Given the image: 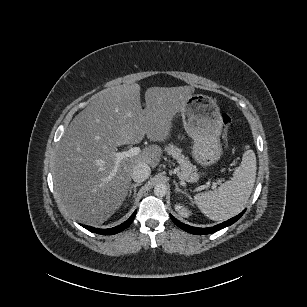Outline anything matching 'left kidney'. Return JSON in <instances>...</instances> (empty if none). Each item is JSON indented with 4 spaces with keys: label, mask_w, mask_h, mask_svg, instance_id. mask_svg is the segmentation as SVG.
<instances>
[{
    "label": "left kidney",
    "mask_w": 307,
    "mask_h": 307,
    "mask_svg": "<svg viewBox=\"0 0 307 307\" xmlns=\"http://www.w3.org/2000/svg\"><path fill=\"white\" fill-rule=\"evenodd\" d=\"M174 211L183 218L193 217L195 214L193 210L189 207V205L182 202H175L173 204Z\"/></svg>",
    "instance_id": "5707ae66"
}]
</instances>
